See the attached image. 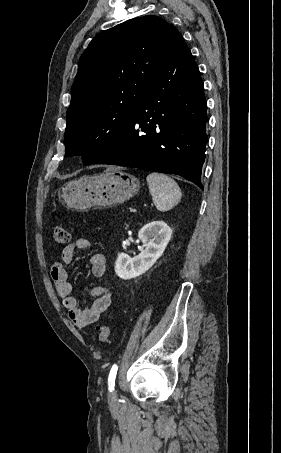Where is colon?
I'll return each mask as SVG.
<instances>
[{"mask_svg": "<svg viewBox=\"0 0 281 453\" xmlns=\"http://www.w3.org/2000/svg\"><path fill=\"white\" fill-rule=\"evenodd\" d=\"M52 241L55 246L62 247L67 241V230L62 225H55L52 229ZM112 337L111 327L108 325L102 326L97 333V341L100 344H105L110 341Z\"/></svg>", "mask_w": 281, "mask_h": 453, "instance_id": "1", "label": "colon"}]
</instances>
